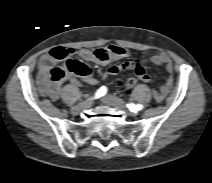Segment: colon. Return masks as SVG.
Wrapping results in <instances>:
<instances>
[{"label": "colon", "mask_w": 212, "mask_h": 183, "mask_svg": "<svg viewBox=\"0 0 212 183\" xmlns=\"http://www.w3.org/2000/svg\"><path fill=\"white\" fill-rule=\"evenodd\" d=\"M52 56L58 61H64L62 66L53 67L49 73V79L54 83H59L64 80L67 74L76 76H85L88 74V67L80 61L68 59L69 52L65 48H55L51 51ZM136 78H129L124 87L127 90L132 89L137 84Z\"/></svg>", "instance_id": "1"}]
</instances>
